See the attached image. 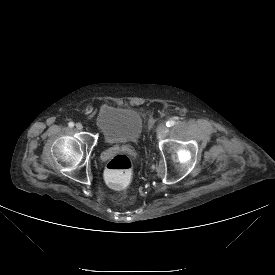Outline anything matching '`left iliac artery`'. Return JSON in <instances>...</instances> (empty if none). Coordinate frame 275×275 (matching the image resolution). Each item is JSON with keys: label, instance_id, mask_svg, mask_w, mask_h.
<instances>
[{"label": "left iliac artery", "instance_id": "1", "mask_svg": "<svg viewBox=\"0 0 275 275\" xmlns=\"http://www.w3.org/2000/svg\"><path fill=\"white\" fill-rule=\"evenodd\" d=\"M175 123H176V122H175L174 120L171 119V120H169V121L166 122V126H167V127H172V126L175 125Z\"/></svg>", "mask_w": 275, "mask_h": 275}]
</instances>
